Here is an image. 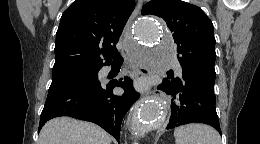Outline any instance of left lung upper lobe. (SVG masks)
<instances>
[{
  "mask_svg": "<svg viewBox=\"0 0 260 144\" xmlns=\"http://www.w3.org/2000/svg\"><path fill=\"white\" fill-rule=\"evenodd\" d=\"M142 14L164 19L173 32L183 71L215 83L213 24L199 7L181 0H152L143 6Z\"/></svg>",
  "mask_w": 260,
  "mask_h": 144,
  "instance_id": "1",
  "label": "left lung upper lobe"
}]
</instances>
